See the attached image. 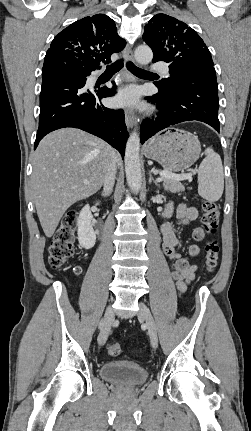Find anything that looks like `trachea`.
Returning <instances> with one entry per match:
<instances>
[{
	"mask_svg": "<svg viewBox=\"0 0 251 431\" xmlns=\"http://www.w3.org/2000/svg\"><path fill=\"white\" fill-rule=\"evenodd\" d=\"M122 67H123V60H118L114 64L107 66L105 73L113 75L116 72H118ZM127 68L131 73L137 76L153 74L152 72L145 71L143 69L136 67L132 62H127Z\"/></svg>",
	"mask_w": 251,
	"mask_h": 431,
	"instance_id": "1",
	"label": "trachea"
}]
</instances>
